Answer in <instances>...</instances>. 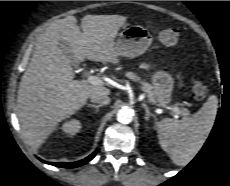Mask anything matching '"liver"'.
<instances>
[{"label":"liver","instance_id":"liver-1","mask_svg":"<svg viewBox=\"0 0 230 186\" xmlns=\"http://www.w3.org/2000/svg\"><path fill=\"white\" fill-rule=\"evenodd\" d=\"M126 20L120 15H85L81 32L77 18L67 16L40 35L17 95V116L26 144L39 148L61 121L86 104L91 94H110L102 85L74 80L72 64L85 59L113 63L114 39Z\"/></svg>","mask_w":230,"mask_h":186}]
</instances>
